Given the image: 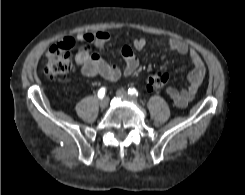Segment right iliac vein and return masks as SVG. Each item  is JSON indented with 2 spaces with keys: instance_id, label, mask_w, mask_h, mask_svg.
<instances>
[{
  "instance_id": "right-iliac-vein-1",
  "label": "right iliac vein",
  "mask_w": 245,
  "mask_h": 195,
  "mask_svg": "<svg viewBox=\"0 0 245 195\" xmlns=\"http://www.w3.org/2000/svg\"><path fill=\"white\" fill-rule=\"evenodd\" d=\"M99 105L101 108H106L108 106V100L106 98L100 100Z\"/></svg>"
}]
</instances>
